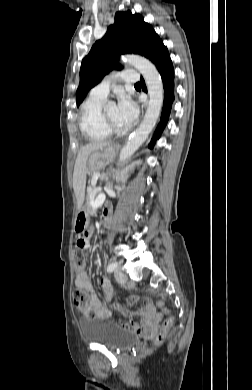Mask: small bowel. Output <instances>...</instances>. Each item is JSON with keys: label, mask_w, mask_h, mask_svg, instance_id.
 Instances as JSON below:
<instances>
[{"label": "small bowel", "mask_w": 252, "mask_h": 390, "mask_svg": "<svg viewBox=\"0 0 252 390\" xmlns=\"http://www.w3.org/2000/svg\"><path fill=\"white\" fill-rule=\"evenodd\" d=\"M83 237L85 239V248H87L90 242V232H87ZM100 285L107 305L103 304L99 299L89 275L85 271L76 275L75 286L89 293V303L95 311V316L99 319H109L112 317L113 312V307L108 305L113 296V286L107 276L101 278ZM136 300L135 297L129 299L128 305L130 308L121 305L115 307L128 319L127 321L118 320L117 323L124 328L133 330L139 335H152L157 331L163 315L162 313L156 312L154 305L149 300L145 302L144 306L134 308ZM158 307L162 308V303H159Z\"/></svg>", "instance_id": "c3829d8e"}]
</instances>
